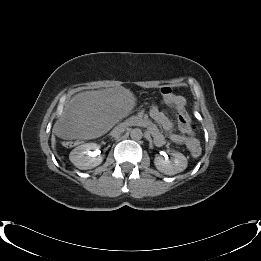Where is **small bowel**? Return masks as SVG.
<instances>
[{"instance_id": "c3829d8e", "label": "small bowel", "mask_w": 261, "mask_h": 261, "mask_svg": "<svg viewBox=\"0 0 261 261\" xmlns=\"http://www.w3.org/2000/svg\"><path fill=\"white\" fill-rule=\"evenodd\" d=\"M150 117L154 123H151L150 121L142 118H138L137 121L140 124L148 127V129L151 131L154 137L155 143L161 145L163 144L164 139H163V135L159 132L157 125L165 129L166 131H170L173 127V123L169 119V117L158 106H153L151 108ZM168 136L172 141L179 144H183L186 147L189 146L190 144H199L198 140L194 137V132L189 137L184 136L182 133L175 134L171 132H169Z\"/></svg>"}]
</instances>
